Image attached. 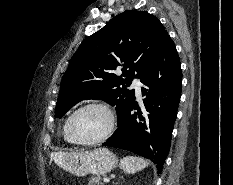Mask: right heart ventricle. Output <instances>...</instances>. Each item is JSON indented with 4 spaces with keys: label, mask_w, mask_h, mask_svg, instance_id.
Instances as JSON below:
<instances>
[{
    "label": "right heart ventricle",
    "mask_w": 233,
    "mask_h": 185,
    "mask_svg": "<svg viewBox=\"0 0 233 185\" xmlns=\"http://www.w3.org/2000/svg\"><path fill=\"white\" fill-rule=\"evenodd\" d=\"M67 119L65 120L64 125H63V138L67 143L73 144L74 142L70 139L67 133Z\"/></svg>",
    "instance_id": "e07e8e85"
}]
</instances>
